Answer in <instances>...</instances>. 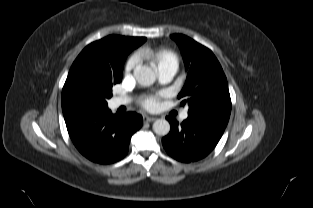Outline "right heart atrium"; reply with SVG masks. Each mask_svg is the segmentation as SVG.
Masks as SVG:
<instances>
[{
	"instance_id": "d8ad5b80",
	"label": "right heart atrium",
	"mask_w": 313,
	"mask_h": 208,
	"mask_svg": "<svg viewBox=\"0 0 313 208\" xmlns=\"http://www.w3.org/2000/svg\"><path fill=\"white\" fill-rule=\"evenodd\" d=\"M137 64V57L132 56L125 65V73H130Z\"/></svg>"
}]
</instances>
